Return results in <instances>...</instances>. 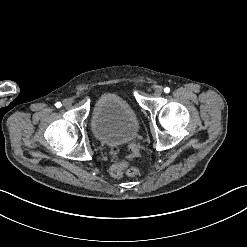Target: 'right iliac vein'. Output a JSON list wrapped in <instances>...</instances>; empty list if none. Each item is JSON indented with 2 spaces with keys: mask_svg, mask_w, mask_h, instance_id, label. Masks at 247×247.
I'll use <instances>...</instances> for the list:
<instances>
[{
  "mask_svg": "<svg viewBox=\"0 0 247 247\" xmlns=\"http://www.w3.org/2000/svg\"><path fill=\"white\" fill-rule=\"evenodd\" d=\"M63 105H64L65 108H70L72 103H71V101L69 99H65L63 101Z\"/></svg>",
  "mask_w": 247,
  "mask_h": 247,
  "instance_id": "63e3f726",
  "label": "right iliac vein"
}]
</instances>
